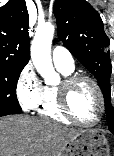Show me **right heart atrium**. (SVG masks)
Listing matches in <instances>:
<instances>
[{
  "label": "right heart atrium",
  "mask_w": 114,
  "mask_h": 156,
  "mask_svg": "<svg viewBox=\"0 0 114 156\" xmlns=\"http://www.w3.org/2000/svg\"><path fill=\"white\" fill-rule=\"evenodd\" d=\"M43 85L31 65H26L18 75L15 93L23 110H34L43 94Z\"/></svg>",
  "instance_id": "obj_1"
}]
</instances>
